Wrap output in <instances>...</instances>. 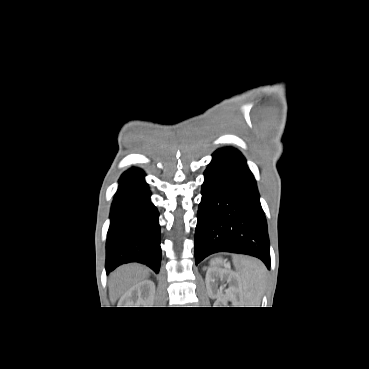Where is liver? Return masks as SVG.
<instances>
[{
	"instance_id": "1",
	"label": "liver",
	"mask_w": 369,
	"mask_h": 369,
	"mask_svg": "<svg viewBox=\"0 0 369 369\" xmlns=\"http://www.w3.org/2000/svg\"><path fill=\"white\" fill-rule=\"evenodd\" d=\"M149 271L139 264H128L117 268L109 280V297L112 304L132 286L145 280Z\"/></svg>"
}]
</instances>
